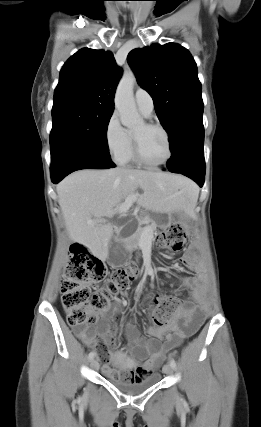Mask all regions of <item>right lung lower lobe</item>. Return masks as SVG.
Here are the masks:
<instances>
[{"instance_id": "obj_1", "label": "right lung lower lobe", "mask_w": 261, "mask_h": 427, "mask_svg": "<svg viewBox=\"0 0 261 427\" xmlns=\"http://www.w3.org/2000/svg\"><path fill=\"white\" fill-rule=\"evenodd\" d=\"M115 167L110 158H99L81 153H65L51 158V178L59 183L68 174L80 169H108Z\"/></svg>"}]
</instances>
